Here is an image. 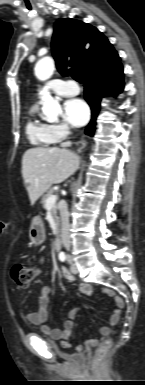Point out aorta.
Listing matches in <instances>:
<instances>
[{
    "label": "aorta",
    "instance_id": "obj_1",
    "mask_svg": "<svg viewBox=\"0 0 145 385\" xmlns=\"http://www.w3.org/2000/svg\"><path fill=\"white\" fill-rule=\"evenodd\" d=\"M53 72L54 61L50 57H45L39 60L35 66V75L40 81H46L49 79L53 75ZM41 99L43 102V114L48 120H55L62 112L59 102L48 92L41 93Z\"/></svg>",
    "mask_w": 145,
    "mask_h": 385
}]
</instances>
